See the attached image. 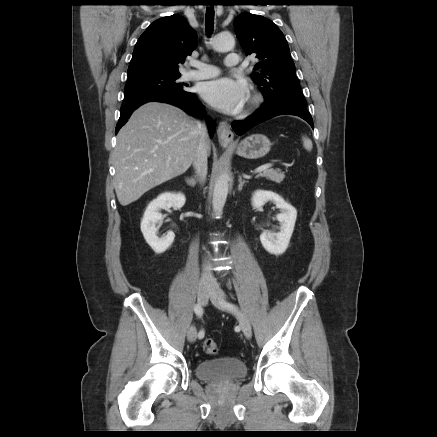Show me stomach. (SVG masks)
Wrapping results in <instances>:
<instances>
[{"mask_svg":"<svg viewBox=\"0 0 437 437\" xmlns=\"http://www.w3.org/2000/svg\"><path fill=\"white\" fill-rule=\"evenodd\" d=\"M271 145L265 135L252 134L237 145L236 154L247 159H259L268 154Z\"/></svg>","mask_w":437,"mask_h":437,"instance_id":"stomach-1","label":"stomach"}]
</instances>
